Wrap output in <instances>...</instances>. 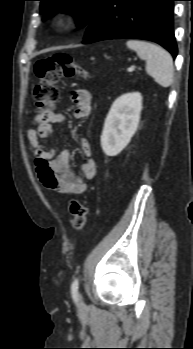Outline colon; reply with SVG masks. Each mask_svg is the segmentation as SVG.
Returning a JSON list of instances; mask_svg holds the SVG:
<instances>
[{
	"instance_id": "1",
	"label": "colon",
	"mask_w": 193,
	"mask_h": 349,
	"mask_svg": "<svg viewBox=\"0 0 193 349\" xmlns=\"http://www.w3.org/2000/svg\"><path fill=\"white\" fill-rule=\"evenodd\" d=\"M35 73L39 78V83L35 87L34 98L36 108L41 114L54 111L59 99L57 84L63 77H88L87 71L66 54H57L52 58L38 61L35 65ZM69 207L73 228L76 231H82L87 221L86 206L73 199Z\"/></svg>"
}]
</instances>
